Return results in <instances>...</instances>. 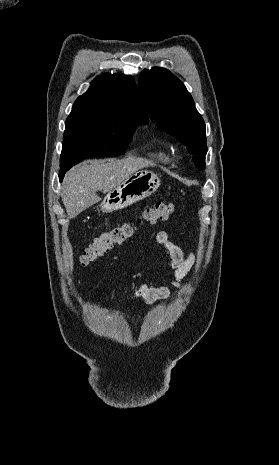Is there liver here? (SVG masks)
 <instances>
[{"mask_svg": "<svg viewBox=\"0 0 279 465\" xmlns=\"http://www.w3.org/2000/svg\"><path fill=\"white\" fill-rule=\"evenodd\" d=\"M151 161L127 157L121 160H88L74 166L64 177L61 197L72 219L101 200L97 191L111 192Z\"/></svg>", "mask_w": 279, "mask_h": 465, "instance_id": "6515ba94", "label": "liver"}]
</instances>
